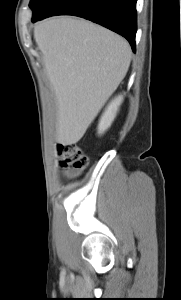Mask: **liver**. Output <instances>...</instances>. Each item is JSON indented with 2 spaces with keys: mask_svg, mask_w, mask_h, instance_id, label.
I'll return each instance as SVG.
<instances>
[{
  "mask_svg": "<svg viewBox=\"0 0 181 300\" xmlns=\"http://www.w3.org/2000/svg\"><path fill=\"white\" fill-rule=\"evenodd\" d=\"M34 39L56 95V140L75 144L124 79L131 48L120 35L71 17L38 23Z\"/></svg>",
  "mask_w": 181,
  "mask_h": 300,
  "instance_id": "liver-1",
  "label": "liver"
}]
</instances>
